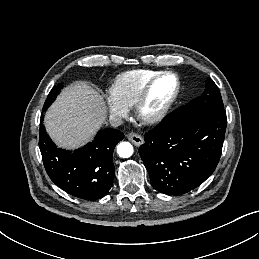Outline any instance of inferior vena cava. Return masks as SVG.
I'll return each instance as SVG.
<instances>
[{
  "label": "inferior vena cava",
  "instance_id": "602c4592",
  "mask_svg": "<svg viewBox=\"0 0 259 259\" xmlns=\"http://www.w3.org/2000/svg\"><path fill=\"white\" fill-rule=\"evenodd\" d=\"M109 122H110L111 126H113V127H118L121 124H123L122 118L120 116L114 115V114L109 117Z\"/></svg>",
  "mask_w": 259,
  "mask_h": 259
}]
</instances>
